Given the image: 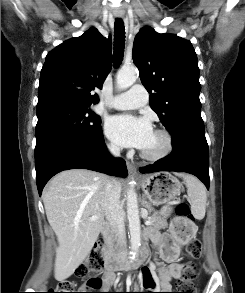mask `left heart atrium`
<instances>
[{"label": "left heart atrium", "mask_w": 245, "mask_h": 293, "mask_svg": "<svg viewBox=\"0 0 245 293\" xmlns=\"http://www.w3.org/2000/svg\"><path fill=\"white\" fill-rule=\"evenodd\" d=\"M107 136L124 147L144 149L153 135L151 123L146 118L116 115L107 119Z\"/></svg>", "instance_id": "left-heart-atrium-1"}]
</instances>
